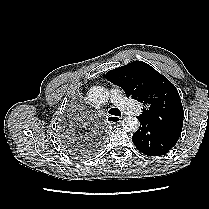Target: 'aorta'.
<instances>
[{
	"label": "aorta",
	"mask_w": 209,
	"mask_h": 209,
	"mask_svg": "<svg viewBox=\"0 0 209 209\" xmlns=\"http://www.w3.org/2000/svg\"><path fill=\"white\" fill-rule=\"evenodd\" d=\"M88 99L92 104L104 105L109 99V92L102 86H93L88 90ZM140 126L136 117L129 116L123 119L122 127L127 132H136Z\"/></svg>",
	"instance_id": "aorta-1"
}]
</instances>
